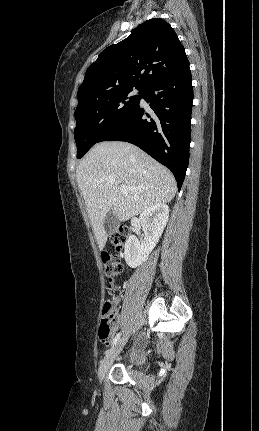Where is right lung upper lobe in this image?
Wrapping results in <instances>:
<instances>
[{
    "label": "right lung upper lobe",
    "mask_w": 259,
    "mask_h": 431,
    "mask_svg": "<svg viewBox=\"0 0 259 431\" xmlns=\"http://www.w3.org/2000/svg\"><path fill=\"white\" fill-rule=\"evenodd\" d=\"M187 65L185 49L170 24L160 18L147 20L129 37L107 47L89 66L78 89V104L120 88L145 90Z\"/></svg>",
    "instance_id": "right-lung-upper-lobe-1"
}]
</instances>
